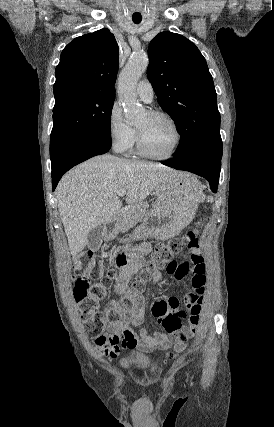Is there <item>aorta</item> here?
Here are the masks:
<instances>
[{
	"label": "aorta",
	"instance_id": "aorta-1",
	"mask_svg": "<svg viewBox=\"0 0 274 427\" xmlns=\"http://www.w3.org/2000/svg\"><path fill=\"white\" fill-rule=\"evenodd\" d=\"M146 53L136 52L130 56L126 66L119 75L118 96L125 111L127 122L133 123L144 113L136 101V84L148 67Z\"/></svg>",
	"mask_w": 274,
	"mask_h": 427
}]
</instances>
